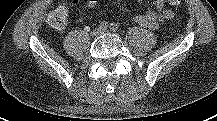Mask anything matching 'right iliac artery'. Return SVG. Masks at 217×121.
Wrapping results in <instances>:
<instances>
[{
  "label": "right iliac artery",
  "instance_id": "1",
  "mask_svg": "<svg viewBox=\"0 0 217 121\" xmlns=\"http://www.w3.org/2000/svg\"><path fill=\"white\" fill-rule=\"evenodd\" d=\"M107 27H108V23L107 22H105V21H103L101 24H100V29H102V30H105V29H107Z\"/></svg>",
  "mask_w": 217,
  "mask_h": 121
}]
</instances>
